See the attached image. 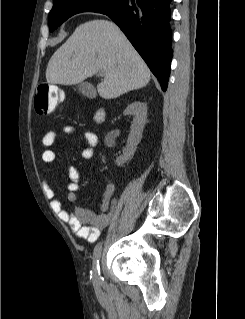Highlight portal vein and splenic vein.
Returning <instances> with one entry per match:
<instances>
[{
	"label": "portal vein and splenic vein",
	"mask_w": 245,
	"mask_h": 319,
	"mask_svg": "<svg viewBox=\"0 0 245 319\" xmlns=\"http://www.w3.org/2000/svg\"><path fill=\"white\" fill-rule=\"evenodd\" d=\"M98 74H99L100 76H102V75L104 74V72L100 70V71L98 72Z\"/></svg>",
	"instance_id": "1"
}]
</instances>
